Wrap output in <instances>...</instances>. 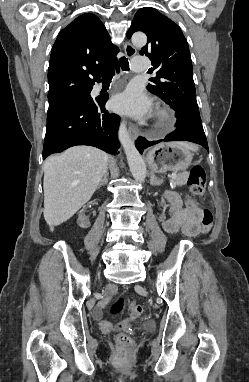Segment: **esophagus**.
I'll return each instance as SVG.
<instances>
[{
    "label": "esophagus",
    "mask_w": 249,
    "mask_h": 382,
    "mask_svg": "<svg viewBox=\"0 0 249 382\" xmlns=\"http://www.w3.org/2000/svg\"><path fill=\"white\" fill-rule=\"evenodd\" d=\"M124 52L128 58H132L136 54V48L129 42H126ZM129 132L132 139L135 140L138 136V129L132 123L129 125Z\"/></svg>",
    "instance_id": "34e87169"
}]
</instances>
